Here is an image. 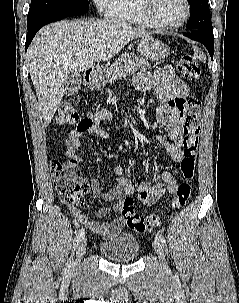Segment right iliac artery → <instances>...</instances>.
Here are the masks:
<instances>
[{
	"instance_id": "right-iliac-artery-1",
	"label": "right iliac artery",
	"mask_w": 239,
	"mask_h": 303,
	"mask_svg": "<svg viewBox=\"0 0 239 303\" xmlns=\"http://www.w3.org/2000/svg\"><path fill=\"white\" fill-rule=\"evenodd\" d=\"M85 235V229L81 228L78 230V232L76 233V236L74 238V243H73V249L75 251L76 247L78 246L79 242L81 241L82 237ZM72 262H71V258L69 259L68 263L66 264V267L64 269L65 273L69 272V269L71 268Z\"/></svg>"
}]
</instances>
